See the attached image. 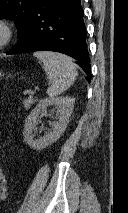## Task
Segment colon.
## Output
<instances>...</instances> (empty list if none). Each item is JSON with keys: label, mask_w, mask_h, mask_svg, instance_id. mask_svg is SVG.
<instances>
[{"label": "colon", "mask_w": 128, "mask_h": 213, "mask_svg": "<svg viewBox=\"0 0 128 213\" xmlns=\"http://www.w3.org/2000/svg\"><path fill=\"white\" fill-rule=\"evenodd\" d=\"M8 191L6 187V180L0 167V201H5L7 199Z\"/></svg>", "instance_id": "obj_1"}]
</instances>
